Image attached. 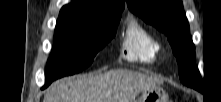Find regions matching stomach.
Instances as JSON below:
<instances>
[{"label":"stomach","instance_id":"obj_1","mask_svg":"<svg viewBox=\"0 0 221 102\" xmlns=\"http://www.w3.org/2000/svg\"><path fill=\"white\" fill-rule=\"evenodd\" d=\"M134 102H168V95L160 87H152L143 91L141 97Z\"/></svg>","mask_w":221,"mask_h":102}]
</instances>
